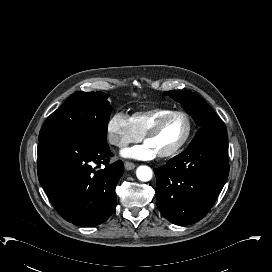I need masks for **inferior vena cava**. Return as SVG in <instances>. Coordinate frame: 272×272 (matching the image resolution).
I'll return each instance as SVG.
<instances>
[{"mask_svg":"<svg viewBox=\"0 0 272 272\" xmlns=\"http://www.w3.org/2000/svg\"><path fill=\"white\" fill-rule=\"evenodd\" d=\"M112 144H117V139H113Z\"/></svg>","mask_w":272,"mask_h":272,"instance_id":"602c4592","label":"inferior vena cava"}]
</instances>
